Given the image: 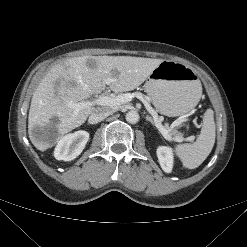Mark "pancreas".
<instances>
[{
  "instance_id": "cf45deb5",
  "label": "pancreas",
  "mask_w": 247,
  "mask_h": 247,
  "mask_svg": "<svg viewBox=\"0 0 247 247\" xmlns=\"http://www.w3.org/2000/svg\"><path fill=\"white\" fill-rule=\"evenodd\" d=\"M165 128L168 129L170 135H173L174 137H181V135L176 130L169 129L168 125H165Z\"/></svg>"
}]
</instances>
